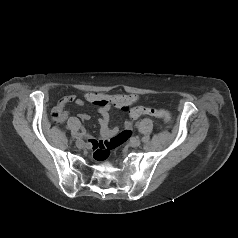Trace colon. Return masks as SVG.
<instances>
[{"mask_svg":"<svg viewBox=\"0 0 238 238\" xmlns=\"http://www.w3.org/2000/svg\"><path fill=\"white\" fill-rule=\"evenodd\" d=\"M149 115L157 118L168 119V114L162 110H156L149 107H136L128 113V118L130 120H135L136 118ZM133 123L131 121H126L124 123L123 131L104 140L95 141L93 143L94 157L97 160H105L108 158L110 152L116 149L118 146L123 144L132 133Z\"/></svg>","mask_w":238,"mask_h":238,"instance_id":"colon-1","label":"colon"}]
</instances>
